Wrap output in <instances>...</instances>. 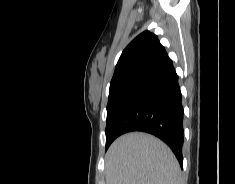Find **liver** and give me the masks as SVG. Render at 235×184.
Returning <instances> with one entry per match:
<instances>
[{
  "mask_svg": "<svg viewBox=\"0 0 235 184\" xmlns=\"http://www.w3.org/2000/svg\"><path fill=\"white\" fill-rule=\"evenodd\" d=\"M106 184H182L170 148L150 134L130 132L117 138L105 156Z\"/></svg>",
  "mask_w": 235,
  "mask_h": 184,
  "instance_id": "1",
  "label": "liver"
}]
</instances>
